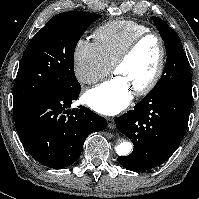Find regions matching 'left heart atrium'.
<instances>
[{"instance_id": "1", "label": "left heart atrium", "mask_w": 199, "mask_h": 199, "mask_svg": "<svg viewBox=\"0 0 199 199\" xmlns=\"http://www.w3.org/2000/svg\"><path fill=\"white\" fill-rule=\"evenodd\" d=\"M131 99V88L119 76H115L85 93V102L91 109L109 116L123 111Z\"/></svg>"}]
</instances>
